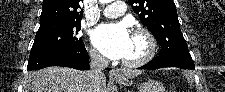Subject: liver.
<instances>
[{
  "label": "liver",
  "mask_w": 225,
  "mask_h": 92,
  "mask_svg": "<svg viewBox=\"0 0 225 92\" xmlns=\"http://www.w3.org/2000/svg\"><path fill=\"white\" fill-rule=\"evenodd\" d=\"M141 73L140 70L124 71L128 78ZM23 92H106V77L102 74L97 83H91L89 71L48 67L27 73L24 77Z\"/></svg>",
  "instance_id": "liver-1"
}]
</instances>
